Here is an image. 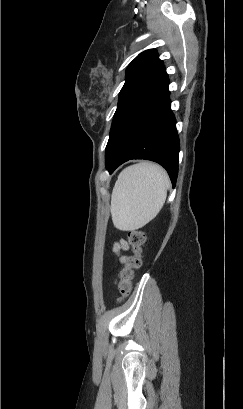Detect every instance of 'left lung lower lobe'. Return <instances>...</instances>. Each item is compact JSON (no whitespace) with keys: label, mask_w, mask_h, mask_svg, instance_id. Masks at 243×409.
<instances>
[{"label":"left lung lower lobe","mask_w":243,"mask_h":409,"mask_svg":"<svg viewBox=\"0 0 243 409\" xmlns=\"http://www.w3.org/2000/svg\"><path fill=\"white\" fill-rule=\"evenodd\" d=\"M168 85L163 66L120 117L115 127L117 155L106 165L110 174L130 159H147L163 166L175 186L180 147Z\"/></svg>","instance_id":"1"}]
</instances>
